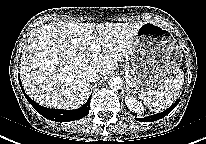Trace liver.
<instances>
[{
  "label": "liver",
  "mask_w": 206,
  "mask_h": 144,
  "mask_svg": "<svg viewBox=\"0 0 206 144\" xmlns=\"http://www.w3.org/2000/svg\"><path fill=\"white\" fill-rule=\"evenodd\" d=\"M143 24L59 21L39 27L28 38L20 62L26 93L45 107H79L90 90L89 69H99L103 76L113 72L129 54ZM97 43L102 53L90 48Z\"/></svg>",
  "instance_id": "1"
}]
</instances>
